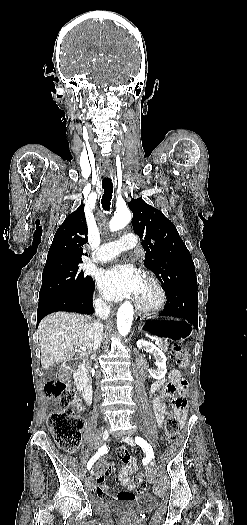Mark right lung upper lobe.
Wrapping results in <instances>:
<instances>
[{
  "instance_id": "1",
  "label": "right lung upper lobe",
  "mask_w": 247,
  "mask_h": 525,
  "mask_svg": "<svg viewBox=\"0 0 247 525\" xmlns=\"http://www.w3.org/2000/svg\"><path fill=\"white\" fill-rule=\"evenodd\" d=\"M87 233L84 205L81 204L56 231L43 271L79 266Z\"/></svg>"
}]
</instances>
